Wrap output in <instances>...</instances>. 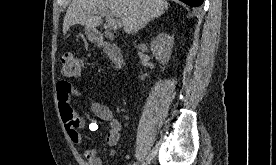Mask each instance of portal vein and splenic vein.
I'll return each mask as SVG.
<instances>
[{
    "mask_svg": "<svg viewBox=\"0 0 276 165\" xmlns=\"http://www.w3.org/2000/svg\"><path fill=\"white\" fill-rule=\"evenodd\" d=\"M101 16H105L106 22L109 28L117 29L122 26V23L120 20L115 19L113 15L108 10H102L100 12Z\"/></svg>",
    "mask_w": 276,
    "mask_h": 165,
    "instance_id": "18ae733b",
    "label": "portal vein and splenic vein"
}]
</instances>
